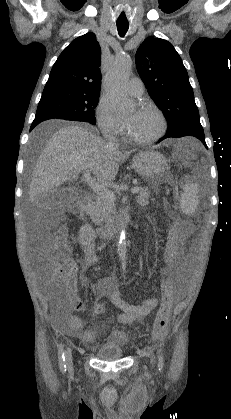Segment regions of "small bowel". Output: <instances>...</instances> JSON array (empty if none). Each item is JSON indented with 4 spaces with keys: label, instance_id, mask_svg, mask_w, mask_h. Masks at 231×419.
I'll list each match as a JSON object with an SVG mask.
<instances>
[{
    "label": "small bowel",
    "instance_id": "obj_1",
    "mask_svg": "<svg viewBox=\"0 0 231 419\" xmlns=\"http://www.w3.org/2000/svg\"><path fill=\"white\" fill-rule=\"evenodd\" d=\"M78 242L84 251V259L80 264V279L82 283H87V270L90 266L95 264L98 259L94 244V231L90 225H83L81 227L78 235ZM173 261L167 262L165 260V272L170 269ZM67 290L73 308L75 310H81L83 308V303L77 295L76 286L74 285V287L70 288L67 287ZM97 295L99 298L109 299L117 308L120 309L121 312L117 314L116 317V320L120 325H128L143 319L145 316L150 314L159 304L158 298H150L138 303L128 301L118 291L116 284L106 278H102L98 281ZM100 305L102 304H96L95 309ZM83 325L84 322L81 318L72 316L68 320L62 321L61 328L68 335L80 339L84 343H92L94 341L95 334L92 330L84 331ZM114 337L118 339L115 333Z\"/></svg>",
    "mask_w": 231,
    "mask_h": 419
}]
</instances>
